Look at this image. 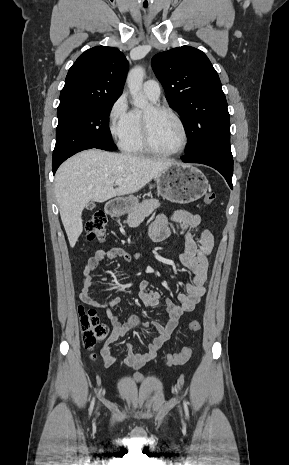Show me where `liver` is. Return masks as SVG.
<instances>
[{"label": "liver", "mask_w": 289, "mask_h": 465, "mask_svg": "<svg viewBox=\"0 0 289 465\" xmlns=\"http://www.w3.org/2000/svg\"><path fill=\"white\" fill-rule=\"evenodd\" d=\"M174 164L169 160L90 149L67 161L57 170L55 196L60 217L73 248L83 231L82 211L89 201L105 202L135 193ZM123 183L114 189L116 180Z\"/></svg>", "instance_id": "1"}]
</instances>
